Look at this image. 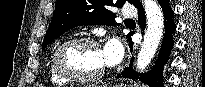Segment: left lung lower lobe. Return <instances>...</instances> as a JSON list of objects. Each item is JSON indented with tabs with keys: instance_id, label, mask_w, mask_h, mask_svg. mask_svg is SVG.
<instances>
[{
	"instance_id": "left-lung-lower-lobe-1",
	"label": "left lung lower lobe",
	"mask_w": 205,
	"mask_h": 87,
	"mask_svg": "<svg viewBox=\"0 0 205 87\" xmlns=\"http://www.w3.org/2000/svg\"><path fill=\"white\" fill-rule=\"evenodd\" d=\"M161 8L163 9V14L165 18L164 26H165V35L163 38V43L160 48L159 57L156 61L155 66L151 69V71L142 74L135 72L132 69L133 59L130 62L129 67L125 68L123 73H121L118 77L129 78L133 80H139L142 83L148 84L151 87H163V67L168 62L169 55L171 53L173 47V32L176 29V25L173 20V10L169 0H158ZM136 8L138 9V23L144 28L145 27V12L140 2L137 3ZM130 43V51L133 50V43L129 40Z\"/></svg>"
}]
</instances>
